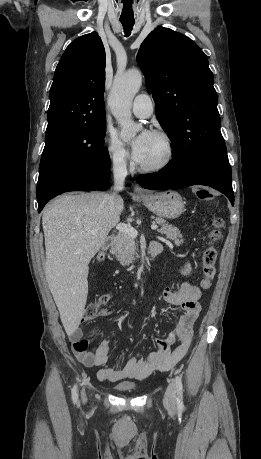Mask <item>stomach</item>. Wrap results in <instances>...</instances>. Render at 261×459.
Masks as SVG:
<instances>
[{"instance_id":"1","label":"stomach","mask_w":261,"mask_h":459,"mask_svg":"<svg viewBox=\"0 0 261 459\" xmlns=\"http://www.w3.org/2000/svg\"><path fill=\"white\" fill-rule=\"evenodd\" d=\"M143 203L159 217L175 219L184 212V202L176 191L168 190L142 196Z\"/></svg>"}]
</instances>
